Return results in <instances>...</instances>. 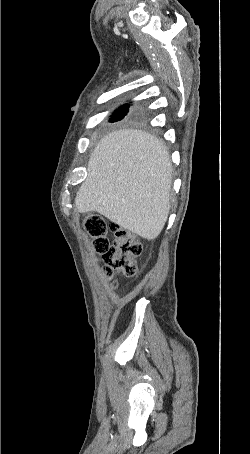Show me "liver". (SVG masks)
Returning <instances> with one entry per match:
<instances>
[{"mask_svg":"<svg viewBox=\"0 0 250 454\" xmlns=\"http://www.w3.org/2000/svg\"><path fill=\"white\" fill-rule=\"evenodd\" d=\"M172 164L156 137L123 129L102 138L75 198L80 213L98 212L121 228L154 240L170 210Z\"/></svg>","mask_w":250,"mask_h":454,"instance_id":"1","label":"liver"}]
</instances>
